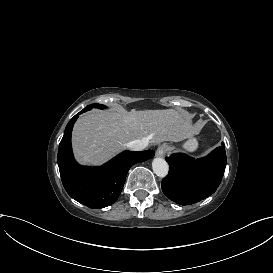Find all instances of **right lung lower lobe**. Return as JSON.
Returning a JSON list of instances; mask_svg holds the SVG:
<instances>
[{
  "label": "right lung lower lobe",
  "mask_w": 273,
  "mask_h": 273,
  "mask_svg": "<svg viewBox=\"0 0 273 273\" xmlns=\"http://www.w3.org/2000/svg\"><path fill=\"white\" fill-rule=\"evenodd\" d=\"M80 111L67 124L58 148V166L67 193L79 203L93 209L113 204L119 197L129 169L155 154L152 150L124 151L100 167L80 166L73 158L72 128Z\"/></svg>",
  "instance_id": "98d812e1"
}]
</instances>
